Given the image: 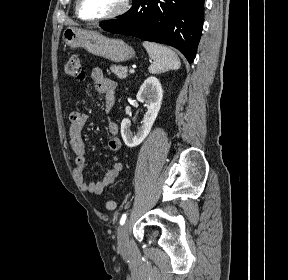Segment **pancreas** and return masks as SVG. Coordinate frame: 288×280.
<instances>
[{"instance_id": "cf45deb5", "label": "pancreas", "mask_w": 288, "mask_h": 280, "mask_svg": "<svg viewBox=\"0 0 288 280\" xmlns=\"http://www.w3.org/2000/svg\"><path fill=\"white\" fill-rule=\"evenodd\" d=\"M110 69L120 79H125L128 76V74H127L128 69L125 66L113 65L110 67Z\"/></svg>"}]
</instances>
